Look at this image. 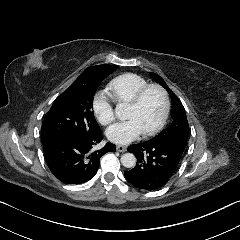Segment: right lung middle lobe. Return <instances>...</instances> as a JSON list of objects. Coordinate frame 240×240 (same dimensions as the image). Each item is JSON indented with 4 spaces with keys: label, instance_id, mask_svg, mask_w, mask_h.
Listing matches in <instances>:
<instances>
[{
    "label": "right lung middle lobe",
    "instance_id": "obj_1",
    "mask_svg": "<svg viewBox=\"0 0 240 240\" xmlns=\"http://www.w3.org/2000/svg\"><path fill=\"white\" fill-rule=\"evenodd\" d=\"M117 66L98 65L85 69L53 103L41 127L42 142L58 136H89L101 133L94 117V94Z\"/></svg>",
    "mask_w": 240,
    "mask_h": 240
}]
</instances>
